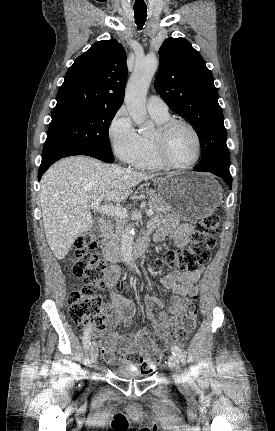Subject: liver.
Returning <instances> with one entry per match:
<instances>
[{
  "label": "liver",
  "instance_id": "1",
  "mask_svg": "<svg viewBox=\"0 0 275 431\" xmlns=\"http://www.w3.org/2000/svg\"><path fill=\"white\" fill-rule=\"evenodd\" d=\"M154 177L96 159L76 156L55 163L41 179L40 203L47 242L63 259L75 240L93 226L90 203L125 200L136 185Z\"/></svg>",
  "mask_w": 275,
  "mask_h": 431
}]
</instances>
